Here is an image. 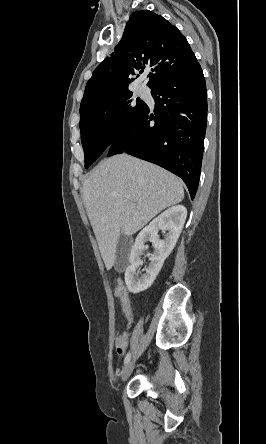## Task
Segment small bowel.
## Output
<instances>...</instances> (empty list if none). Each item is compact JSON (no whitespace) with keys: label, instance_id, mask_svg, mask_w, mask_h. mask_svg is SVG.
I'll list each match as a JSON object with an SVG mask.
<instances>
[{"label":"small bowel","instance_id":"small-bowel-1","mask_svg":"<svg viewBox=\"0 0 266 444\" xmlns=\"http://www.w3.org/2000/svg\"><path fill=\"white\" fill-rule=\"evenodd\" d=\"M114 294L120 299L123 313L128 320V324L131 325L134 319L133 309L131 306V300L129 292L121 280H116L114 283ZM129 332L122 331L116 338V346L119 353H122L128 345Z\"/></svg>","mask_w":266,"mask_h":444}]
</instances>
